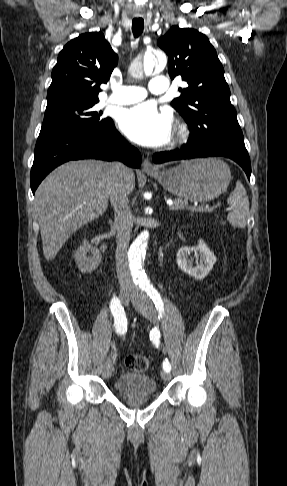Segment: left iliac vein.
I'll return each instance as SVG.
<instances>
[{"instance_id":"left-iliac-vein-1","label":"left iliac vein","mask_w":287,"mask_h":486,"mask_svg":"<svg viewBox=\"0 0 287 486\" xmlns=\"http://www.w3.org/2000/svg\"><path fill=\"white\" fill-rule=\"evenodd\" d=\"M131 302L135 309L152 323H156V310L150 298L139 292H134ZM161 378L166 382L171 379V374L166 371L161 372Z\"/></svg>"}]
</instances>
